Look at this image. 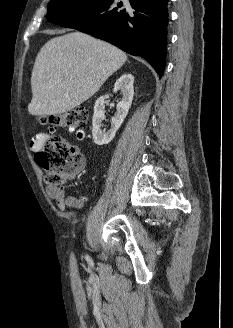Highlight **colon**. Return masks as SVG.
<instances>
[{
	"instance_id": "1",
	"label": "colon",
	"mask_w": 233,
	"mask_h": 328,
	"mask_svg": "<svg viewBox=\"0 0 233 328\" xmlns=\"http://www.w3.org/2000/svg\"><path fill=\"white\" fill-rule=\"evenodd\" d=\"M88 119L89 113L85 108H75L62 114L41 117L40 122L52 130L64 129L78 138H84ZM35 159L46 172L45 181L51 186H60L66 178L76 174L83 163L79 148L59 135L48 137L36 152Z\"/></svg>"
}]
</instances>
